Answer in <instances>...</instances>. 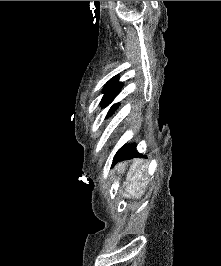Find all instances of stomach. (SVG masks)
I'll use <instances>...</instances> for the list:
<instances>
[{"label": "stomach", "instance_id": "stomach-1", "mask_svg": "<svg viewBox=\"0 0 221 266\" xmlns=\"http://www.w3.org/2000/svg\"><path fill=\"white\" fill-rule=\"evenodd\" d=\"M125 169H126V165L125 164L118 166V172H122Z\"/></svg>", "mask_w": 221, "mask_h": 266}]
</instances>
